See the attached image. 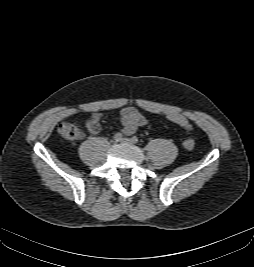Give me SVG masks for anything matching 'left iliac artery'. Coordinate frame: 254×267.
I'll return each mask as SVG.
<instances>
[{"instance_id":"1","label":"left iliac artery","mask_w":254,"mask_h":267,"mask_svg":"<svg viewBox=\"0 0 254 267\" xmlns=\"http://www.w3.org/2000/svg\"><path fill=\"white\" fill-rule=\"evenodd\" d=\"M131 140H132L133 143H137L138 142V138L136 136H133L131 138Z\"/></svg>"}]
</instances>
